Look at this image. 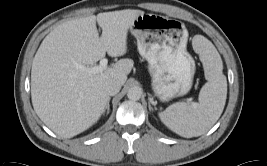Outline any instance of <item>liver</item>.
I'll list each match as a JSON object with an SVG mask.
<instances>
[{
  "label": "liver",
  "instance_id": "1",
  "mask_svg": "<svg viewBox=\"0 0 267 166\" xmlns=\"http://www.w3.org/2000/svg\"><path fill=\"white\" fill-rule=\"evenodd\" d=\"M143 14L125 9L73 19L44 38L32 63L31 97L36 114L53 132L71 138L99 120L109 99L106 82L117 80L123 85L134 62L120 59L95 74L77 66H96L106 52L111 57L125 55L128 30Z\"/></svg>",
  "mask_w": 267,
  "mask_h": 166
}]
</instances>
